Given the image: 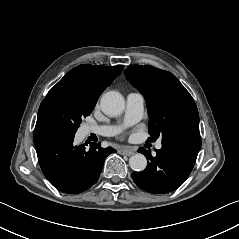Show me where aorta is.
<instances>
[{"instance_id":"762f6f07","label":"aorta","mask_w":239,"mask_h":239,"mask_svg":"<svg viewBox=\"0 0 239 239\" xmlns=\"http://www.w3.org/2000/svg\"><path fill=\"white\" fill-rule=\"evenodd\" d=\"M100 105L104 114L117 117L124 111L125 100L119 92L109 91L102 96ZM129 165L133 170L143 171L147 166V159L143 154L137 153L130 157Z\"/></svg>"}]
</instances>
